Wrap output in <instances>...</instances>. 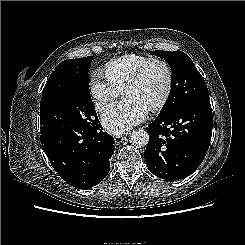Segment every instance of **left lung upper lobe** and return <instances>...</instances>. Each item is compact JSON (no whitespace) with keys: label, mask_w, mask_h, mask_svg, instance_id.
Returning <instances> with one entry per match:
<instances>
[{"label":"left lung upper lobe","mask_w":245,"mask_h":245,"mask_svg":"<svg viewBox=\"0 0 245 245\" xmlns=\"http://www.w3.org/2000/svg\"><path fill=\"white\" fill-rule=\"evenodd\" d=\"M152 55L163 58L171 68V91L159 117H167L187 102L198 97H209L206 83L194 63L182 51H151Z\"/></svg>","instance_id":"left-lung-upper-lobe-1"}]
</instances>
